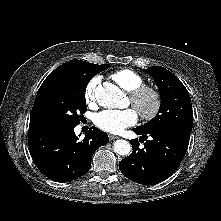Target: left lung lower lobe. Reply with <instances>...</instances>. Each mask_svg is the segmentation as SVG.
Returning <instances> with one entry per match:
<instances>
[{
	"label": "left lung lower lobe",
	"instance_id": "0a47b994",
	"mask_svg": "<svg viewBox=\"0 0 221 221\" xmlns=\"http://www.w3.org/2000/svg\"><path fill=\"white\" fill-rule=\"evenodd\" d=\"M133 131L141 138L131 141L132 153L119 162V169L128 179L139 184H155L167 179L184 157L190 136L172 131ZM151 136V140H146ZM144 147L140 148L141 142Z\"/></svg>",
	"mask_w": 221,
	"mask_h": 221
}]
</instances>
